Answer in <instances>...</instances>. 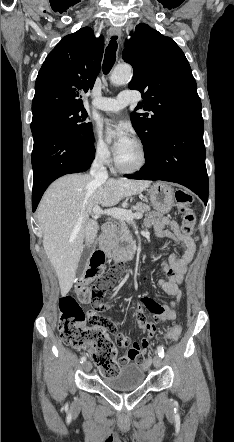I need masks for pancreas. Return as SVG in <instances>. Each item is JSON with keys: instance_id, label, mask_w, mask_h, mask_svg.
Masks as SVG:
<instances>
[{"instance_id": "cf45deb5", "label": "pancreas", "mask_w": 234, "mask_h": 442, "mask_svg": "<svg viewBox=\"0 0 234 442\" xmlns=\"http://www.w3.org/2000/svg\"><path fill=\"white\" fill-rule=\"evenodd\" d=\"M134 208L137 212L145 215L151 212V207L143 202H137ZM102 240V246L105 252L108 255L113 256V250L123 242L131 243L132 236L127 224L120 220L106 226Z\"/></svg>"}]
</instances>
